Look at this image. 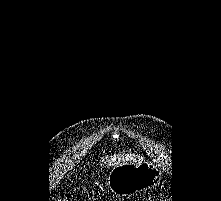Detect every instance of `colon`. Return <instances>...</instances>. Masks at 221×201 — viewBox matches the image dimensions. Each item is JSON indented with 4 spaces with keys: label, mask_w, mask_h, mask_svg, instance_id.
I'll use <instances>...</instances> for the list:
<instances>
[{
    "label": "colon",
    "mask_w": 221,
    "mask_h": 201,
    "mask_svg": "<svg viewBox=\"0 0 221 201\" xmlns=\"http://www.w3.org/2000/svg\"><path fill=\"white\" fill-rule=\"evenodd\" d=\"M57 201H77V200L74 199L70 195H64V196L60 197L59 199H57Z\"/></svg>",
    "instance_id": "obj_1"
}]
</instances>
